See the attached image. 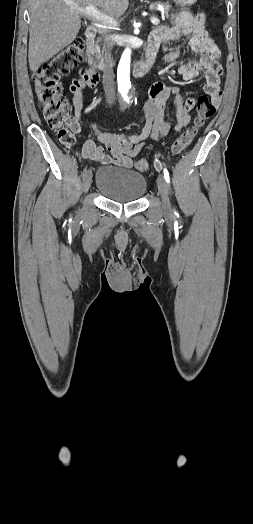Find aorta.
<instances>
[{
	"label": "aorta",
	"mask_w": 253,
	"mask_h": 524,
	"mask_svg": "<svg viewBox=\"0 0 253 524\" xmlns=\"http://www.w3.org/2000/svg\"><path fill=\"white\" fill-rule=\"evenodd\" d=\"M131 50L126 49L120 59L117 69L118 89L125 100H129L128 92L131 89L130 82Z\"/></svg>",
	"instance_id": "obj_1"
}]
</instances>
